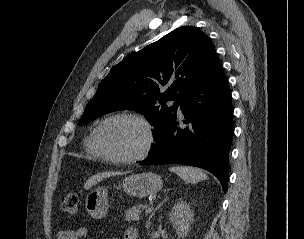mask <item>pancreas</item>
Returning <instances> with one entry per match:
<instances>
[{
	"mask_svg": "<svg viewBox=\"0 0 304 239\" xmlns=\"http://www.w3.org/2000/svg\"><path fill=\"white\" fill-rule=\"evenodd\" d=\"M144 209H147V205L138 204V205L132 206L131 208L126 210L125 220L129 221V222L139 220V216Z\"/></svg>",
	"mask_w": 304,
	"mask_h": 239,
	"instance_id": "pancreas-1",
	"label": "pancreas"
}]
</instances>
